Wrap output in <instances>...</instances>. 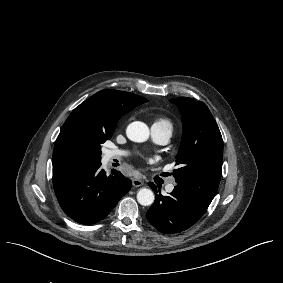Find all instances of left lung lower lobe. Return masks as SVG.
I'll use <instances>...</instances> for the list:
<instances>
[{"mask_svg": "<svg viewBox=\"0 0 283 283\" xmlns=\"http://www.w3.org/2000/svg\"><path fill=\"white\" fill-rule=\"evenodd\" d=\"M157 192V186L149 183ZM156 201L147 213L148 222L166 234L178 233L191 227L207 210L209 204L175 186L170 196L155 194Z\"/></svg>", "mask_w": 283, "mask_h": 283, "instance_id": "0a47b994", "label": "left lung lower lobe"}]
</instances>
